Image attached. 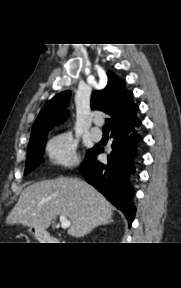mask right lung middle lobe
Returning <instances> with one entry per match:
<instances>
[{"label": "right lung middle lobe", "mask_w": 181, "mask_h": 288, "mask_svg": "<svg viewBox=\"0 0 181 288\" xmlns=\"http://www.w3.org/2000/svg\"><path fill=\"white\" fill-rule=\"evenodd\" d=\"M45 143L46 133H42L35 139L30 140L27 150V159L24 175L30 173L42 162V155L45 148ZM90 152L91 149L87 151V156Z\"/></svg>", "instance_id": "obj_1"}]
</instances>
